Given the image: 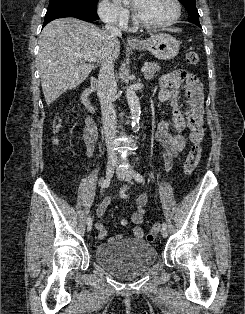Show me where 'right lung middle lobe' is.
<instances>
[{"label":"right lung middle lobe","instance_id":"1","mask_svg":"<svg viewBox=\"0 0 245 314\" xmlns=\"http://www.w3.org/2000/svg\"><path fill=\"white\" fill-rule=\"evenodd\" d=\"M57 8H78L96 12L97 0H49V6L47 10Z\"/></svg>","mask_w":245,"mask_h":314}]
</instances>
